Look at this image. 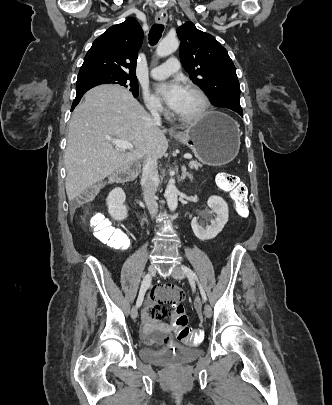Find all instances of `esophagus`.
<instances>
[{
    "instance_id": "obj_1",
    "label": "esophagus",
    "mask_w": 332,
    "mask_h": 405,
    "mask_svg": "<svg viewBox=\"0 0 332 405\" xmlns=\"http://www.w3.org/2000/svg\"><path fill=\"white\" fill-rule=\"evenodd\" d=\"M168 19V14L167 11L165 10H160L157 12L155 20L157 23H165Z\"/></svg>"
}]
</instances>
